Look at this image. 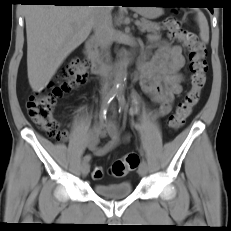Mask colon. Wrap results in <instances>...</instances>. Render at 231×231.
Returning <instances> with one entry per match:
<instances>
[{"label": "colon", "instance_id": "obj_1", "mask_svg": "<svg viewBox=\"0 0 231 231\" xmlns=\"http://www.w3.org/2000/svg\"><path fill=\"white\" fill-rule=\"evenodd\" d=\"M173 13L175 14L176 11H173ZM164 28L167 30L169 37L181 42L189 53L191 87L168 119V126L172 130H177L184 125L194 106L199 102L201 91L206 84L207 50L197 34L183 28L181 22L175 16L165 19ZM87 79V63L81 59H73L62 70L60 81L52 85L48 92L32 94L29 97L26 104L29 117L51 139L62 141L68 136L66 130L61 128L59 121L54 116V107L57 100L73 88L84 84ZM138 162L139 158L136 153H128L112 163L110 173L114 177H123L134 170ZM91 175L95 180L101 179L103 176L102 167L95 166Z\"/></svg>", "mask_w": 231, "mask_h": 231}]
</instances>
